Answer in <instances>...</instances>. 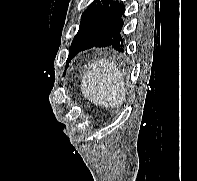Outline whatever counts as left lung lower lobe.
<instances>
[{
	"label": "left lung lower lobe",
	"mask_w": 197,
	"mask_h": 181,
	"mask_svg": "<svg viewBox=\"0 0 197 181\" xmlns=\"http://www.w3.org/2000/svg\"><path fill=\"white\" fill-rule=\"evenodd\" d=\"M124 11L125 6L123 4L119 3V1H112L80 51L92 47L106 46H111L118 51H123L124 45L121 30L123 27L122 16Z\"/></svg>",
	"instance_id": "left-lung-lower-lobe-1"
}]
</instances>
